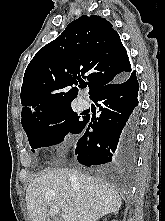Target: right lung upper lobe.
<instances>
[{"mask_svg":"<svg viewBox=\"0 0 165 221\" xmlns=\"http://www.w3.org/2000/svg\"><path fill=\"white\" fill-rule=\"evenodd\" d=\"M131 70L126 49L112 24L97 15L71 22L54 41L41 48L26 68L21 88L22 123L71 106L87 80L89 97L101 87L120 81Z\"/></svg>","mask_w":165,"mask_h":221,"instance_id":"1","label":"right lung upper lobe"}]
</instances>
